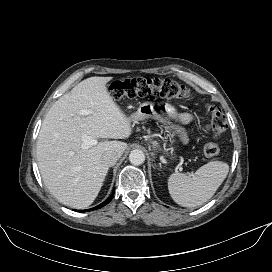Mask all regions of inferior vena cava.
<instances>
[{
    "instance_id": "obj_1",
    "label": "inferior vena cava",
    "mask_w": 272,
    "mask_h": 272,
    "mask_svg": "<svg viewBox=\"0 0 272 272\" xmlns=\"http://www.w3.org/2000/svg\"><path fill=\"white\" fill-rule=\"evenodd\" d=\"M119 154L114 151H107L102 156V161L107 166H114L117 160L119 159Z\"/></svg>"
}]
</instances>
